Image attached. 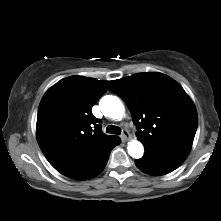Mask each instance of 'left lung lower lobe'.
<instances>
[{"label": "left lung lower lobe", "mask_w": 221, "mask_h": 221, "mask_svg": "<svg viewBox=\"0 0 221 221\" xmlns=\"http://www.w3.org/2000/svg\"><path fill=\"white\" fill-rule=\"evenodd\" d=\"M189 147H169L163 149H145L142 158L135 160L136 166L144 173L158 176L178 168L190 152Z\"/></svg>", "instance_id": "1"}]
</instances>
